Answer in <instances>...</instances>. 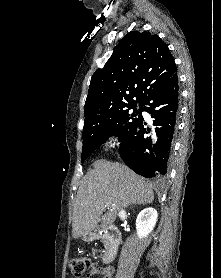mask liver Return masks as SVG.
<instances>
[{"instance_id":"1","label":"liver","mask_w":221,"mask_h":278,"mask_svg":"<svg viewBox=\"0 0 221 278\" xmlns=\"http://www.w3.org/2000/svg\"><path fill=\"white\" fill-rule=\"evenodd\" d=\"M93 167L77 191L72 222L75 239L113 224L119 210L130 204L145 205L154 200L151 185L127 166L97 160Z\"/></svg>"}]
</instances>
